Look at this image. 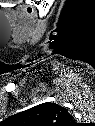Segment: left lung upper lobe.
Masks as SVG:
<instances>
[{
	"label": "left lung upper lobe",
	"mask_w": 95,
	"mask_h": 126,
	"mask_svg": "<svg viewBox=\"0 0 95 126\" xmlns=\"http://www.w3.org/2000/svg\"><path fill=\"white\" fill-rule=\"evenodd\" d=\"M72 116L62 106L46 102L13 116L19 126H71Z\"/></svg>",
	"instance_id": "1"
}]
</instances>
